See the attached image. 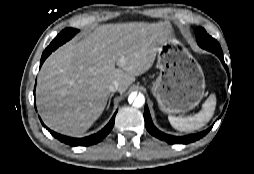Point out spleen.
Wrapping results in <instances>:
<instances>
[{
    "label": "spleen",
    "instance_id": "obj_1",
    "mask_svg": "<svg viewBox=\"0 0 254 174\" xmlns=\"http://www.w3.org/2000/svg\"><path fill=\"white\" fill-rule=\"evenodd\" d=\"M216 108V96L211 94L203 103L202 110L194 116L168 117L173 128L179 131H194L205 126L212 118Z\"/></svg>",
    "mask_w": 254,
    "mask_h": 174
}]
</instances>
